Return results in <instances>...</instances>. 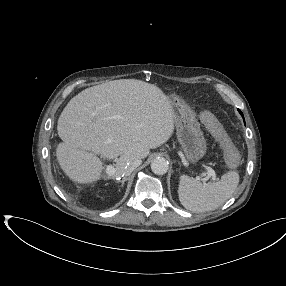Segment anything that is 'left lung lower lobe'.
I'll return each mask as SVG.
<instances>
[{"label": "left lung lower lobe", "instance_id": "1", "mask_svg": "<svg viewBox=\"0 0 286 286\" xmlns=\"http://www.w3.org/2000/svg\"><path fill=\"white\" fill-rule=\"evenodd\" d=\"M238 111H239V113L242 115V117H243V114H242V112L238 109ZM244 118V117H243Z\"/></svg>", "mask_w": 286, "mask_h": 286}]
</instances>
